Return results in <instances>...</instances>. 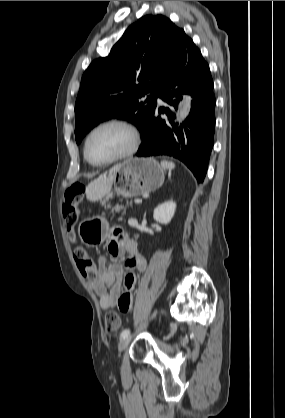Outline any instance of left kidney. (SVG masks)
I'll return each instance as SVG.
<instances>
[{"label":"left kidney","instance_id":"obj_1","mask_svg":"<svg viewBox=\"0 0 285 418\" xmlns=\"http://www.w3.org/2000/svg\"><path fill=\"white\" fill-rule=\"evenodd\" d=\"M175 210L176 203L174 201H166L154 209L153 217L157 222L167 225L173 218Z\"/></svg>","mask_w":285,"mask_h":418}]
</instances>
